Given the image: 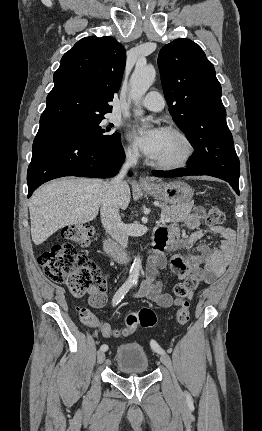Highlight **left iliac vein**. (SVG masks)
I'll return each instance as SVG.
<instances>
[{"mask_svg":"<svg viewBox=\"0 0 262 431\" xmlns=\"http://www.w3.org/2000/svg\"><path fill=\"white\" fill-rule=\"evenodd\" d=\"M161 362L168 368V370L170 371V373L174 377L173 367H172L171 359L169 358V356L166 354H163L161 356Z\"/></svg>","mask_w":262,"mask_h":431,"instance_id":"4c4485c4","label":"left iliac vein"}]
</instances>
